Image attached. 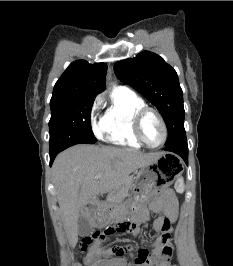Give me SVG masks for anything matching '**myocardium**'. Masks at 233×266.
<instances>
[{
  "mask_svg": "<svg viewBox=\"0 0 233 266\" xmlns=\"http://www.w3.org/2000/svg\"><path fill=\"white\" fill-rule=\"evenodd\" d=\"M149 113L154 114L158 118V120L162 126V129H163V138H162L161 142L157 145L149 144L145 140L143 133H142L143 120H144L145 116ZM133 133H134V136L136 137V139L142 145H144L148 148H151V149H156V148H160L161 146H163L165 144V142L167 140V136H168V129H167V125H166V122H165L163 116L161 115V113L157 109L149 107V106H144V107L140 108L139 110H137V112L134 115Z\"/></svg>",
  "mask_w": 233,
  "mask_h": 266,
  "instance_id": "obj_1",
  "label": "myocardium"
}]
</instances>
